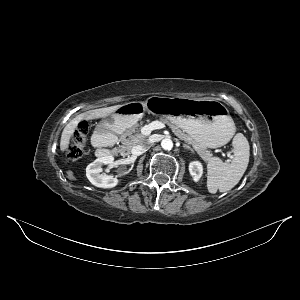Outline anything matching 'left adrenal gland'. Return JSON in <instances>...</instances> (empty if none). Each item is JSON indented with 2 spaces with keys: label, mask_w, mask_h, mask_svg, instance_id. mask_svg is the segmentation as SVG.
Masks as SVG:
<instances>
[{
  "label": "left adrenal gland",
  "mask_w": 300,
  "mask_h": 300,
  "mask_svg": "<svg viewBox=\"0 0 300 300\" xmlns=\"http://www.w3.org/2000/svg\"><path fill=\"white\" fill-rule=\"evenodd\" d=\"M183 147H184L185 149L190 150L191 152H194V150H193L189 145H187V144H184Z\"/></svg>",
  "instance_id": "left-adrenal-gland-1"
}]
</instances>
